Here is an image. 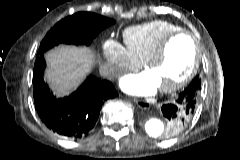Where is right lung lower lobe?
Returning <instances> with one entry per match:
<instances>
[{
  "mask_svg": "<svg viewBox=\"0 0 240 160\" xmlns=\"http://www.w3.org/2000/svg\"><path fill=\"white\" fill-rule=\"evenodd\" d=\"M43 55L37 57L33 70V95L37 113L48 129L68 137L81 138L94 127L102 104L118 96L113 84L90 75L69 97L56 98L44 82Z\"/></svg>",
  "mask_w": 240,
  "mask_h": 160,
  "instance_id": "obj_1",
  "label": "right lung lower lobe"
}]
</instances>
